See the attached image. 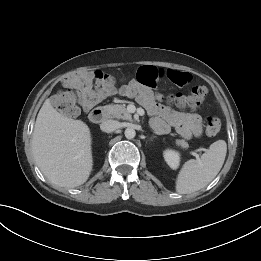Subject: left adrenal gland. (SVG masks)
Masks as SVG:
<instances>
[{"label":"left adrenal gland","mask_w":261,"mask_h":261,"mask_svg":"<svg viewBox=\"0 0 261 261\" xmlns=\"http://www.w3.org/2000/svg\"><path fill=\"white\" fill-rule=\"evenodd\" d=\"M154 138H156V136H152V137L150 138V140H153Z\"/></svg>","instance_id":"obj_1"}]
</instances>
